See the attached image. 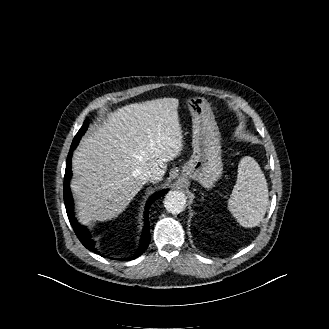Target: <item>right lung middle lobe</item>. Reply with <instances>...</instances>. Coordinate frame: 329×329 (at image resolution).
Instances as JSON below:
<instances>
[{"instance_id": "1", "label": "right lung middle lobe", "mask_w": 329, "mask_h": 329, "mask_svg": "<svg viewBox=\"0 0 329 329\" xmlns=\"http://www.w3.org/2000/svg\"><path fill=\"white\" fill-rule=\"evenodd\" d=\"M88 125H89V122H88V119H86L84 121V124L82 125V127L80 128V130L78 131V133L75 135L74 139H73V142L71 144V148H74L75 146H77L81 136L84 134V132L87 130L88 128Z\"/></svg>"}]
</instances>
